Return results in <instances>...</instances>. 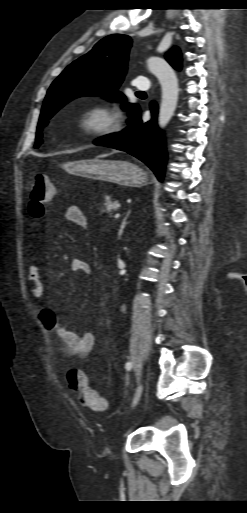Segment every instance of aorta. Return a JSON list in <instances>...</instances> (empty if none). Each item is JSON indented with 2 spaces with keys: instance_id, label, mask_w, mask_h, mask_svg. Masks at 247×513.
<instances>
[{
  "instance_id": "1",
  "label": "aorta",
  "mask_w": 247,
  "mask_h": 513,
  "mask_svg": "<svg viewBox=\"0 0 247 513\" xmlns=\"http://www.w3.org/2000/svg\"><path fill=\"white\" fill-rule=\"evenodd\" d=\"M147 66L161 85L162 96L158 114V126L160 129H164L174 115L177 106L179 95L178 79L172 67L163 59L153 56L149 57Z\"/></svg>"
}]
</instances>
